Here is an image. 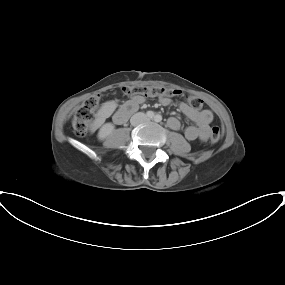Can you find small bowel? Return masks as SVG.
Returning a JSON list of instances; mask_svg holds the SVG:
<instances>
[{"label": "small bowel", "instance_id": "obj_1", "mask_svg": "<svg viewBox=\"0 0 285 285\" xmlns=\"http://www.w3.org/2000/svg\"><path fill=\"white\" fill-rule=\"evenodd\" d=\"M144 101H145L144 96L136 95L126 103H133L136 105V107H138ZM160 102L161 104L166 106L171 103V100L167 97H162L160 99ZM179 109L186 117H188L190 120H192L195 123V126H188L185 128L184 130L185 138L190 141L196 139H200L203 141L207 140L209 134V126L214 118L212 111L209 109L196 110L190 107L186 103H180ZM167 124L169 128H171L172 130L180 129V121L175 117H170L168 119Z\"/></svg>", "mask_w": 285, "mask_h": 285}]
</instances>
